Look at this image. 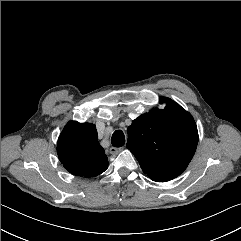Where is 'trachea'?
<instances>
[{"label":"trachea","instance_id":"obj_1","mask_svg":"<svg viewBox=\"0 0 241 241\" xmlns=\"http://www.w3.org/2000/svg\"><path fill=\"white\" fill-rule=\"evenodd\" d=\"M111 143L114 147H122L125 144V136L121 130H116L111 138Z\"/></svg>","mask_w":241,"mask_h":241}]
</instances>
